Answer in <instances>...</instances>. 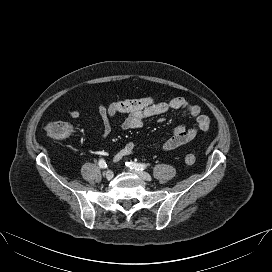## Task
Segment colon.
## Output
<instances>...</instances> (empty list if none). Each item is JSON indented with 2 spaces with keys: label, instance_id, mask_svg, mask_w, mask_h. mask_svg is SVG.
Here are the masks:
<instances>
[{
  "label": "colon",
  "instance_id": "obj_1",
  "mask_svg": "<svg viewBox=\"0 0 272 272\" xmlns=\"http://www.w3.org/2000/svg\"><path fill=\"white\" fill-rule=\"evenodd\" d=\"M72 132L73 126L67 121H52L45 126L46 136L55 140L66 139L71 136ZM184 160L186 164L192 165L196 161V156L189 153L185 155Z\"/></svg>",
  "mask_w": 272,
  "mask_h": 272
}]
</instances>
